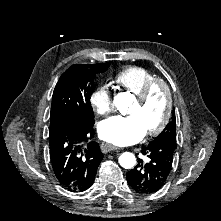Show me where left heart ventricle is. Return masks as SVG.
Listing matches in <instances>:
<instances>
[{
    "label": "left heart ventricle",
    "mask_w": 221,
    "mask_h": 221,
    "mask_svg": "<svg viewBox=\"0 0 221 221\" xmlns=\"http://www.w3.org/2000/svg\"><path fill=\"white\" fill-rule=\"evenodd\" d=\"M166 110V96L163 89H156L144 106L135 101L132 109L128 112L130 116H136L146 131L154 128L163 118Z\"/></svg>",
    "instance_id": "1"
}]
</instances>
